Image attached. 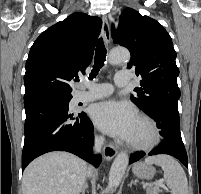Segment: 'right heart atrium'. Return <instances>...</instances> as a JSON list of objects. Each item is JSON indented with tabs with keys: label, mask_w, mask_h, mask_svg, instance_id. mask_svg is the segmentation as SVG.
Listing matches in <instances>:
<instances>
[{
	"label": "right heart atrium",
	"mask_w": 201,
	"mask_h": 194,
	"mask_svg": "<svg viewBox=\"0 0 201 194\" xmlns=\"http://www.w3.org/2000/svg\"><path fill=\"white\" fill-rule=\"evenodd\" d=\"M97 142H98V143H102V142H103V139H102L101 136H97Z\"/></svg>",
	"instance_id": "d8ad5b80"
}]
</instances>
